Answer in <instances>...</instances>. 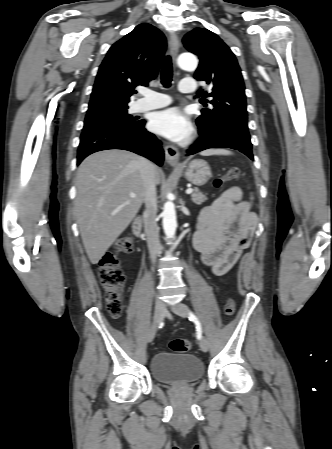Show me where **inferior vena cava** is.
I'll return each mask as SVG.
<instances>
[{"label": "inferior vena cava", "mask_w": 332, "mask_h": 449, "mask_svg": "<svg viewBox=\"0 0 332 449\" xmlns=\"http://www.w3.org/2000/svg\"><path fill=\"white\" fill-rule=\"evenodd\" d=\"M139 169L145 189L144 203L145 211L143 213L145 233L147 236V244L149 253L154 263L157 255L161 251L159 241V228L156 221L157 213V197L154 165L144 159H139Z\"/></svg>", "instance_id": "602c4592"}]
</instances>
